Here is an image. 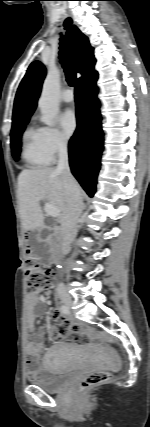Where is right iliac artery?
<instances>
[{
  "mask_svg": "<svg viewBox=\"0 0 150 427\" xmlns=\"http://www.w3.org/2000/svg\"><path fill=\"white\" fill-rule=\"evenodd\" d=\"M60 309H61V312H62V313H64V314H67V313H68V308H67L65 305H62V306L60 307Z\"/></svg>",
  "mask_w": 150,
  "mask_h": 427,
  "instance_id": "obj_1",
  "label": "right iliac artery"
}]
</instances>
